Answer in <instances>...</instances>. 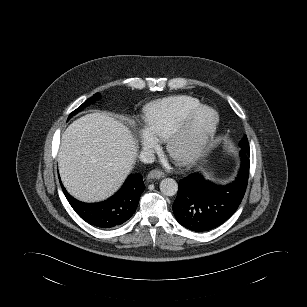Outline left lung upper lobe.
Segmentation results:
<instances>
[{
	"label": "left lung upper lobe",
	"instance_id": "5c2ea615",
	"mask_svg": "<svg viewBox=\"0 0 307 307\" xmlns=\"http://www.w3.org/2000/svg\"><path fill=\"white\" fill-rule=\"evenodd\" d=\"M239 146L242 149V151L240 152L241 154L250 155L249 144L246 136H244L243 139L240 141Z\"/></svg>",
	"mask_w": 307,
	"mask_h": 307
}]
</instances>
